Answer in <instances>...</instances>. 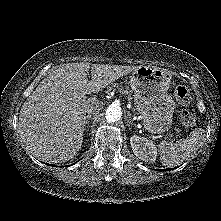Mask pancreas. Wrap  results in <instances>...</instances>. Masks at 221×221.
Returning a JSON list of instances; mask_svg holds the SVG:
<instances>
[{"mask_svg": "<svg viewBox=\"0 0 221 221\" xmlns=\"http://www.w3.org/2000/svg\"><path fill=\"white\" fill-rule=\"evenodd\" d=\"M111 89H117L119 92H125L127 94H131V90L129 89V86L124 85L123 83H114L112 87H109L108 90Z\"/></svg>", "mask_w": 221, "mask_h": 221, "instance_id": "pancreas-1", "label": "pancreas"}]
</instances>
